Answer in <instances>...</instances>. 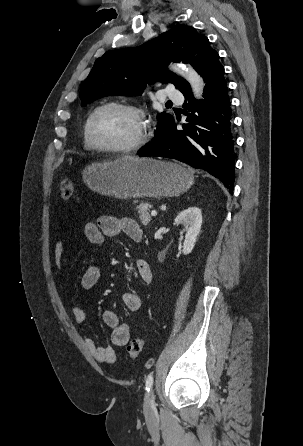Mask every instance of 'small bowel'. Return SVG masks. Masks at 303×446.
<instances>
[{
  "instance_id": "small-bowel-1",
  "label": "small bowel",
  "mask_w": 303,
  "mask_h": 446,
  "mask_svg": "<svg viewBox=\"0 0 303 446\" xmlns=\"http://www.w3.org/2000/svg\"><path fill=\"white\" fill-rule=\"evenodd\" d=\"M84 234L86 240L92 245H101L106 238H116L121 235L135 242H139L143 235L141 227L135 220L130 218H117L109 215L101 216L95 223H87L84 227ZM66 244L67 240L61 239L55 245L54 258L59 268L62 265ZM136 271L142 282L150 283L152 281V270L146 260L138 259L136 261ZM100 274L98 265L91 263L82 275V287L86 290L93 289L98 284ZM122 301L126 309L130 312H137L141 309L142 300L136 291L125 292L122 296ZM72 313L78 325L85 323L86 314L80 307L73 306ZM102 318L104 324L111 330L112 343L116 346H124L130 339V326L122 321L115 311H105ZM85 344L97 361L108 364L116 362L117 354L113 348L99 347L91 338H87Z\"/></svg>"
}]
</instances>
